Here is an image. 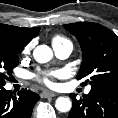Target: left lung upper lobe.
<instances>
[{"label":"left lung upper lobe","instance_id":"left-lung-upper-lobe-1","mask_svg":"<svg viewBox=\"0 0 118 118\" xmlns=\"http://www.w3.org/2000/svg\"><path fill=\"white\" fill-rule=\"evenodd\" d=\"M79 40L82 64L77 79L85 78L91 89L118 91V36L108 28L89 22L65 24Z\"/></svg>","mask_w":118,"mask_h":118}]
</instances>
